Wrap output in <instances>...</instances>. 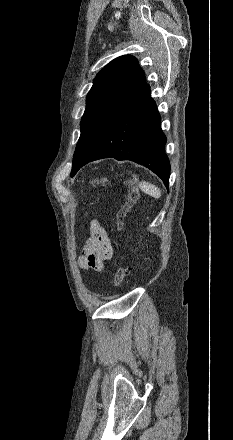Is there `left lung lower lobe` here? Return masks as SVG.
<instances>
[{
    "label": "left lung lower lobe",
    "instance_id": "left-lung-lower-lobe-1",
    "mask_svg": "<svg viewBox=\"0 0 233 440\" xmlns=\"http://www.w3.org/2000/svg\"><path fill=\"white\" fill-rule=\"evenodd\" d=\"M165 144L161 117L156 103L150 97V86L146 85L114 118L87 158L71 176L94 160H131L157 174L168 189L170 163L165 154Z\"/></svg>",
    "mask_w": 233,
    "mask_h": 440
}]
</instances>
